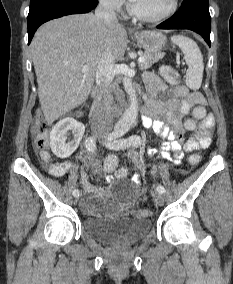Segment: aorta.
<instances>
[{"mask_svg": "<svg viewBox=\"0 0 233 284\" xmlns=\"http://www.w3.org/2000/svg\"><path fill=\"white\" fill-rule=\"evenodd\" d=\"M122 82L124 89L129 96L130 103L129 107L118 121L117 126L124 130H128L135 123L138 116V99L131 78L125 76L123 77Z\"/></svg>", "mask_w": 233, "mask_h": 284, "instance_id": "762f6f07", "label": "aorta"}]
</instances>
